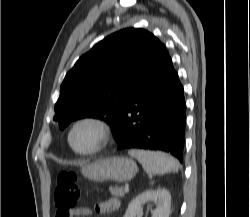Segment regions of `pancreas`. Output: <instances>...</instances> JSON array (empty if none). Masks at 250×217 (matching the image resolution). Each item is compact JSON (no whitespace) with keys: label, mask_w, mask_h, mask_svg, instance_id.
I'll use <instances>...</instances> for the list:
<instances>
[{"label":"pancreas","mask_w":250,"mask_h":217,"mask_svg":"<svg viewBox=\"0 0 250 217\" xmlns=\"http://www.w3.org/2000/svg\"><path fill=\"white\" fill-rule=\"evenodd\" d=\"M109 191H110V193H111L113 196H116V197H123V196L125 195V193H126V191L123 190V188L117 187V186H115V187H110V188H109Z\"/></svg>","instance_id":"cf45deb5"}]
</instances>
